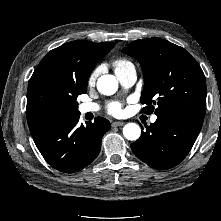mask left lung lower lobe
Returning a JSON list of instances; mask_svg holds the SVG:
<instances>
[{"label": "left lung lower lobe", "mask_w": 221, "mask_h": 221, "mask_svg": "<svg viewBox=\"0 0 221 221\" xmlns=\"http://www.w3.org/2000/svg\"><path fill=\"white\" fill-rule=\"evenodd\" d=\"M202 117L171 113L157 116L140 139L131 144L133 153L155 169L178 165L189 153L203 124Z\"/></svg>", "instance_id": "0a47b994"}]
</instances>
